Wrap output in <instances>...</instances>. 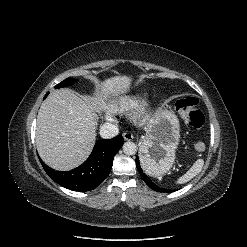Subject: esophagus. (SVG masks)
<instances>
[{
	"label": "esophagus",
	"mask_w": 247,
	"mask_h": 247,
	"mask_svg": "<svg viewBox=\"0 0 247 247\" xmlns=\"http://www.w3.org/2000/svg\"><path fill=\"white\" fill-rule=\"evenodd\" d=\"M123 138L126 140V141H130L133 139V135L131 133H128V132H124L123 134Z\"/></svg>",
	"instance_id": "34e87169"
}]
</instances>
